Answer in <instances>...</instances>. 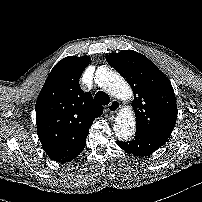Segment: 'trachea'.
<instances>
[{"mask_svg":"<svg viewBox=\"0 0 202 202\" xmlns=\"http://www.w3.org/2000/svg\"><path fill=\"white\" fill-rule=\"evenodd\" d=\"M95 101L100 105H108L110 98L105 92L98 91L95 95Z\"/></svg>","mask_w":202,"mask_h":202,"instance_id":"3493384b","label":"trachea"}]
</instances>
